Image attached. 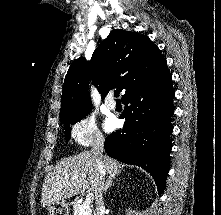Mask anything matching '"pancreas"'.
<instances>
[{
  "mask_svg": "<svg viewBox=\"0 0 221 215\" xmlns=\"http://www.w3.org/2000/svg\"><path fill=\"white\" fill-rule=\"evenodd\" d=\"M73 214L74 215H93L90 203L82 202L78 204L77 202H74Z\"/></svg>",
  "mask_w": 221,
  "mask_h": 215,
  "instance_id": "pancreas-1",
  "label": "pancreas"
}]
</instances>
